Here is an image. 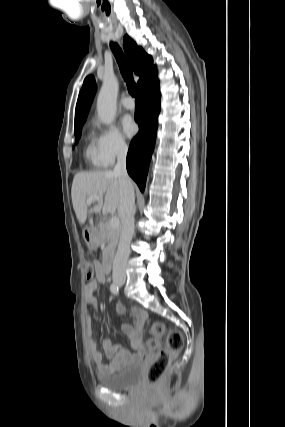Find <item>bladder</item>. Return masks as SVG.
<instances>
[{"mask_svg": "<svg viewBox=\"0 0 285 427\" xmlns=\"http://www.w3.org/2000/svg\"><path fill=\"white\" fill-rule=\"evenodd\" d=\"M142 363L136 361L121 370L100 374L98 381L112 390H126L134 388L141 378Z\"/></svg>", "mask_w": 285, "mask_h": 427, "instance_id": "obj_1", "label": "bladder"}]
</instances>
